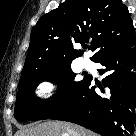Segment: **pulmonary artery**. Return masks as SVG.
<instances>
[{"label": "pulmonary artery", "instance_id": "pulmonary-artery-1", "mask_svg": "<svg viewBox=\"0 0 136 136\" xmlns=\"http://www.w3.org/2000/svg\"><path fill=\"white\" fill-rule=\"evenodd\" d=\"M91 61L89 60V59H87V58H85V59H83V61H82V65L85 67V68H89V67H91Z\"/></svg>", "mask_w": 136, "mask_h": 136}]
</instances>
